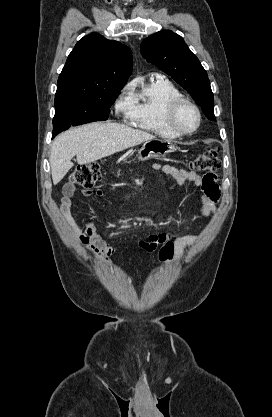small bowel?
<instances>
[{"mask_svg":"<svg viewBox=\"0 0 272 417\" xmlns=\"http://www.w3.org/2000/svg\"><path fill=\"white\" fill-rule=\"evenodd\" d=\"M152 167L156 170H161L163 173L170 175L177 184L182 185L186 181L192 182L194 185L200 187L201 195V215L209 216L215 210V203L220 197V189L217 183L215 174H206L200 176L194 171L185 169H178L172 165H161L154 163ZM76 187L73 183L68 182L62 189V200L59 206V212L64 221L69 225L73 234L84 245V247L92 253L97 260L104 264H109L111 256L115 253V248L108 245L97 233L94 223L88 222L83 228H80L71 214L73 205V197ZM82 194L90 197L95 194L97 197H102L103 191L97 189L95 192L91 188H84ZM174 239L176 260L179 261L184 253V250L195 244L198 238L195 235L188 233H172V232H158L149 235L146 239L141 240L139 245H152L158 248L164 242Z\"/></svg>","mask_w":272,"mask_h":417,"instance_id":"small-bowel-1","label":"small bowel"}]
</instances>
